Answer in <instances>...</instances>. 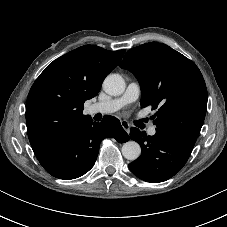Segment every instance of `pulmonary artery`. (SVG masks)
<instances>
[{
    "label": "pulmonary artery",
    "mask_w": 227,
    "mask_h": 227,
    "mask_svg": "<svg viewBox=\"0 0 227 227\" xmlns=\"http://www.w3.org/2000/svg\"><path fill=\"white\" fill-rule=\"evenodd\" d=\"M140 94V85L137 82H131L128 84L125 92L120 97L103 102H98L93 105L92 110L94 113H114L123 108L124 106L135 102L139 98ZM148 134L154 136L156 134V128L150 127L148 129Z\"/></svg>",
    "instance_id": "e3ab8cb5"
}]
</instances>
